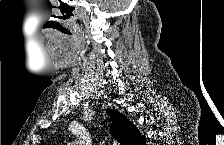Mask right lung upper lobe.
<instances>
[{
	"label": "right lung upper lobe",
	"instance_id": "cb5924a9",
	"mask_svg": "<svg viewBox=\"0 0 224 145\" xmlns=\"http://www.w3.org/2000/svg\"><path fill=\"white\" fill-rule=\"evenodd\" d=\"M111 115L110 131L120 145H140L145 136H141L137 127L123 114L115 110H107Z\"/></svg>",
	"mask_w": 224,
	"mask_h": 145
}]
</instances>
